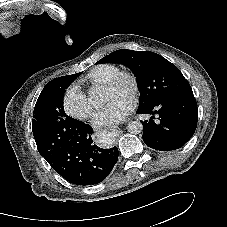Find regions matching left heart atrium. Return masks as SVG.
I'll return each instance as SVG.
<instances>
[{
    "instance_id": "39dd6f15",
    "label": "left heart atrium",
    "mask_w": 227,
    "mask_h": 227,
    "mask_svg": "<svg viewBox=\"0 0 227 227\" xmlns=\"http://www.w3.org/2000/svg\"><path fill=\"white\" fill-rule=\"evenodd\" d=\"M133 108L130 98H117L107 103L98 113L96 124L98 126H112L120 123Z\"/></svg>"
}]
</instances>
